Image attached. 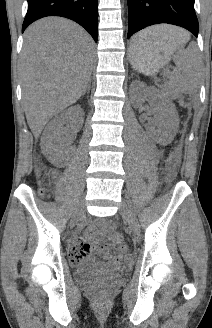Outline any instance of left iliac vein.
Listing matches in <instances>:
<instances>
[{"label": "left iliac vein", "instance_id": "4c4485c4", "mask_svg": "<svg viewBox=\"0 0 212 328\" xmlns=\"http://www.w3.org/2000/svg\"><path fill=\"white\" fill-rule=\"evenodd\" d=\"M119 212L123 219L128 223L129 227L132 229L135 235L139 233V222L137 217L135 216L131 207L126 203L122 202L119 208Z\"/></svg>", "mask_w": 212, "mask_h": 328}]
</instances>
